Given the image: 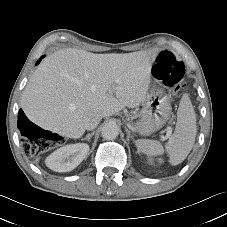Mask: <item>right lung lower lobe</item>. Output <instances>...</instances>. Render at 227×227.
Here are the masks:
<instances>
[{
	"instance_id": "right-lung-lower-lobe-1",
	"label": "right lung lower lobe",
	"mask_w": 227,
	"mask_h": 227,
	"mask_svg": "<svg viewBox=\"0 0 227 227\" xmlns=\"http://www.w3.org/2000/svg\"><path fill=\"white\" fill-rule=\"evenodd\" d=\"M44 56H42L37 62L36 65L41 61V59ZM27 125H34L32 122H30L27 117L25 116L24 112L20 109L18 114V128L20 129L21 133L24 132V129Z\"/></svg>"
}]
</instances>
